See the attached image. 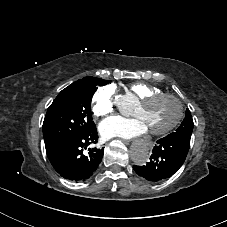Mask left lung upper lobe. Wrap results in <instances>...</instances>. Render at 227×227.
I'll list each match as a JSON object with an SVG mask.
<instances>
[{"label":"left lung upper lobe","instance_id":"5c2ea615","mask_svg":"<svg viewBox=\"0 0 227 227\" xmlns=\"http://www.w3.org/2000/svg\"><path fill=\"white\" fill-rule=\"evenodd\" d=\"M194 123L192 120V116L190 111L187 109L186 110V116L181 123L180 127L173 133H171L168 136L171 137H178V138H185V139H191V134L193 131Z\"/></svg>","mask_w":227,"mask_h":227}]
</instances>
